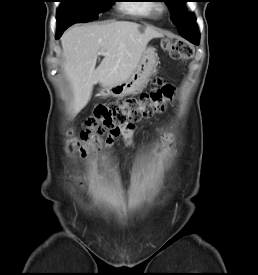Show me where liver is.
Listing matches in <instances>:
<instances>
[{
  "mask_svg": "<svg viewBox=\"0 0 258 275\" xmlns=\"http://www.w3.org/2000/svg\"><path fill=\"white\" fill-rule=\"evenodd\" d=\"M162 33L131 21L77 25L61 37L63 70L73 92L72 116L89 102L97 83L110 87L136 69L147 44ZM104 58L96 67L100 51Z\"/></svg>",
  "mask_w": 258,
  "mask_h": 275,
  "instance_id": "liver-1",
  "label": "liver"
}]
</instances>
